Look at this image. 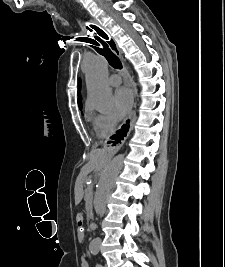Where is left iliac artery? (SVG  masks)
Segmentation results:
<instances>
[{"label":"left iliac artery","mask_w":225,"mask_h":267,"mask_svg":"<svg viewBox=\"0 0 225 267\" xmlns=\"http://www.w3.org/2000/svg\"><path fill=\"white\" fill-rule=\"evenodd\" d=\"M93 253V255H96L97 254V252L96 251H94V252H92ZM96 267H103L101 264H99V263H97L96 264Z\"/></svg>","instance_id":"obj_1"}]
</instances>
